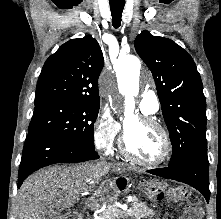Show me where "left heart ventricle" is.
<instances>
[{
    "mask_svg": "<svg viewBox=\"0 0 221 219\" xmlns=\"http://www.w3.org/2000/svg\"><path fill=\"white\" fill-rule=\"evenodd\" d=\"M125 141L128 149L137 157L151 161L158 159L164 148L160 132L131 118L125 123Z\"/></svg>",
    "mask_w": 221,
    "mask_h": 219,
    "instance_id": "obj_1",
    "label": "left heart ventricle"
}]
</instances>
